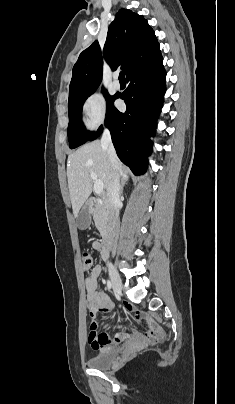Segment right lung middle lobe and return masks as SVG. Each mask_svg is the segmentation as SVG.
<instances>
[{
	"instance_id": "obj_1",
	"label": "right lung middle lobe",
	"mask_w": 235,
	"mask_h": 404,
	"mask_svg": "<svg viewBox=\"0 0 235 404\" xmlns=\"http://www.w3.org/2000/svg\"><path fill=\"white\" fill-rule=\"evenodd\" d=\"M103 93L107 100V110H108L113 105V101L116 99V96H109L106 91H103ZM88 96L89 95L74 101H70L68 103L69 125L67 133L69 139V147L71 149L84 144L94 134L93 132H87L84 129V125L81 118L82 107Z\"/></svg>"
}]
</instances>
